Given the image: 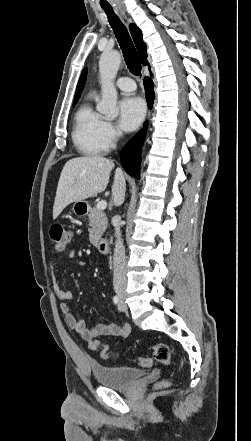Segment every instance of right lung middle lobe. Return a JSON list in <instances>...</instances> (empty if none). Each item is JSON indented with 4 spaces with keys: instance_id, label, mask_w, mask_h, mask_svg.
<instances>
[{
    "instance_id": "right-lung-middle-lobe-1",
    "label": "right lung middle lobe",
    "mask_w": 251,
    "mask_h": 441,
    "mask_svg": "<svg viewBox=\"0 0 251 441\" xmlns=\"http://www.w3.org/2000/svg\"><path fill=\"white\" fill-rule=\"evenodd\" d=\"M76 103H77V101H74V102H73V106H75V105H76Z\"/></svg>"
}]
</instances>
